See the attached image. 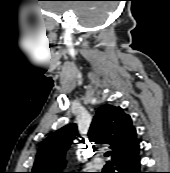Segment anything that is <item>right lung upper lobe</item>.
<instances>
[{"instance_id":"right-lung-upper-lobe-1","label":"right lung upper lobe","mask_w":170,"mask_h":173,"mask_svg":"<svg viewBox=\"0 0 170 173\" xmlns=\"http://www.w3.org/2000/svg\"><path fill=\"white\" fill-rule=\"evenodd\" d=\"M88 136L89 141L95 144L111 145L112 159L138 144L130 116L113 105H104L97 111ZM79 138L76 124L51 134L41 144L31 173H64L66 152Z\"/></svg>"}]
</instances>
